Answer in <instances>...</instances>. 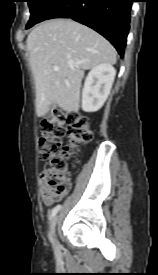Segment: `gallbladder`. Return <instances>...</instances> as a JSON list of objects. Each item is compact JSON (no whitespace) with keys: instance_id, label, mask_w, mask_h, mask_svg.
<instances>
[{"instance_id":"1","label":"gallbladder","mask_w":158,"mask_h":275,"mask_svg":"<svg viewBox=\"0 0 158 275\" xmlns=\"http://www.w3.org/2000/svg\"><path fill=\"white\" fill-rule=\"evenodd\" d=\"M54 108H55V105L52 104V105L50 106V108H49V112H50L52 109H54ZM49 112H48V114H49Z\"/></svg>"}]
</instances>
